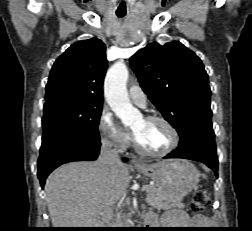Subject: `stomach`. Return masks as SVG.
<instances>
[{"label": "stomach", "mask_w": 252, "mask_h": 231, "mask_svg": "<svg viewBox=\"0 0 252 231\" xmlns=\"http://www.w3.org/2000/svg\"><path fill=\"white\" fill-rule=\"evenodd\" d=\"M137 170L155 182L164 205L180 203L199 181L195 166L187 160L170 159L157 164H145Z\"/></svg>", "instance_id": "obj_1"}]
</instances>
